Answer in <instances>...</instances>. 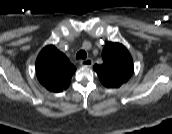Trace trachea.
<instances>
[{
    "label": "trachea",
    "instance_id": "1",
    "mask_svg": "<svg viewBox=\"0 0 172 134\" xmlns=\"http://www.w3.org/2000/svg\"><path fill=\"white\" fill-rule=\"evenodd\" d=\"M87 57V53L84 50H80L77 54H76V59H86Z\"/></svg>",
    "mask_w": 172,
    "mask_h": 134
}]
</instances>
